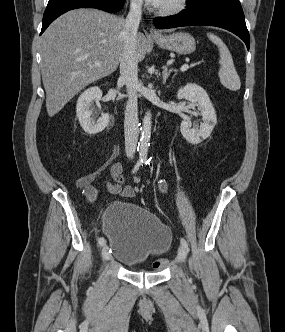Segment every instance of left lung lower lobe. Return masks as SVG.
Masks as SVG:
<instances>
[{"mask_svg":"<svg viewBox=\"0 0 285 332\" xmlns=\"http://www.w3.org/2000/svg\"><path fill=\"white\" fill-rule=\"evenodd\" d=\"M159 29L180 26H216L224 28L240 37L250 47V36L239 0H203L187 5L186 9L168 18H155Z\"/></svg>","mask_w":285,"mask_h":332,"instance_id":"1","label":"left lung lower lobe"}]
</instances>
